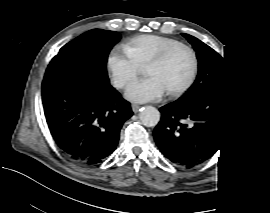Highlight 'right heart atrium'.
<instances>
[{
    "mask_svg": "<svg viewBox=\"0 0 270 213\" xmlns=\"http://www.w3.org/2000/svg\"><path fill=\"white\" fill-rule=\"evenodd\" d=\"M108 67L115 84L120 88H125L132 84L140 72V66L133 62L128 55H121L116 51L111 53Z\"/></svg>",
    "mask_w": 270,
    "mask_h": 213,
    "instance_id": "d8ad5b80",
    "label": "right heart atrium"
}]
</instances>
